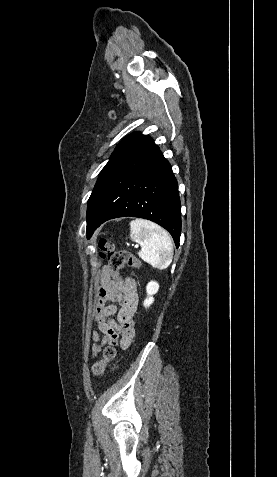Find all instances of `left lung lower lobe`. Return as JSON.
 <instances>
[{
	"mask_svg": "<svg viewBox=\"0 0 277 477\" xmlns=\"http://www.w3.org/2000/svg\"><path fill=\"white\" fill-rule=\"evenodd\" d=\"M125 216L159 224L179 246L178 184L171 165L153 140L137 150L108 179L87 221V237L105 221Z\"/></svg>",
	"mask_w": 277,
	"mask_h": 477,
	"instance_id": "left-lung-lower-lobe-1",
	"label": "left lung lower lobe"
}]
</instances>
